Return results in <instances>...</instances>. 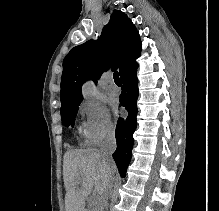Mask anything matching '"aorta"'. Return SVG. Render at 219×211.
Listing matches in <instances>:
<instances>
[{
  "label": "aorta",
  "instance_id": "762f6f07",
  "mask_svg": "<svg viewBox=\"0 0 219 211\" xmlns=\"http://www.w3.org/2000/svg\"><path fill=\"white\" fill-rule=\"evenodd\" d=\"M83 93L84 96L89 98V99H93L97 97V92L96 90L92 87V85L90 83H86L83 87Z\"/></svg>",
  "mask_w": 219,
  "mask_h": 211
}]
</instances>
